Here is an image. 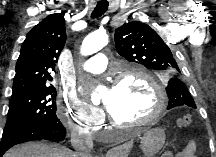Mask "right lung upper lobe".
Wrapping results in <instances>:
<instances>
[{
    "label": "right lung upper lobe",
    "instance_id": "right-lung-upper-lobe-1",
    "mask_svg": "<svg viewBox=\"0 0 216 157\" xmlns=\"http://www.w3.org/2000/svg\"><path fill=\"white\" fill-rule=\"evenodd\" d=\"M66 42L65 20L61 14H51L34 26L22 44L16 63L13 93L42 87H52L50 70Z\"/></svg>",
    "mask_w": 216,
    "mask_h": 157
}]
</instances>
